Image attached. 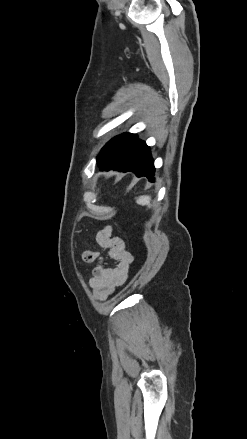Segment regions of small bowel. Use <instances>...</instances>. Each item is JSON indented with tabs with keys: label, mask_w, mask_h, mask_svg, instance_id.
<instances>
[{
	"label": "small bowel",
	"mask_w": 247,
	"mask_h": 439,
	"mask_svg": "<svg viewBox=\"0 0 247 439\" xmlns=\"http://www.w3.org/2000/svg\"><path fill=\"white\" fill-rule=\"evenodd\" d=\"M96 248L83 252L82 260L86 263L98 261L93 268L89 280L93 293L100 299H106L114 290L127 280L133 256L126 250L125 244L119 237L113 236L112 230L106 227L95 236ZM102 250L106 251L114 264L107 266Z\"/></svg>",
	"instance_id": "1"
}]
</instances>
